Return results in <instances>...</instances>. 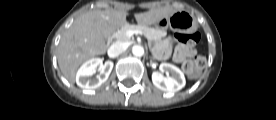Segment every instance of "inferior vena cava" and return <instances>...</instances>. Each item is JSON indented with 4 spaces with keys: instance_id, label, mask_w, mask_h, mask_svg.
<instances>
[{
    "instance_id": "inferior-vena-cava-1",
    "label": "inferior vena cava",
    "mask_w": 276,
    "mask_h": 120,
    "mask_svg": "<svg viewBox=\"0 0 276 120\" xmlns=\"http://www.w3.org/2000/svg\"><path fill=\"white\" fill-rule=\"evenodd\" d=\"M127 45L122 42H116L112 44L108 49V56L110 58H115L123 53L127 49Z\"/></svg>"
}]
</instances>
